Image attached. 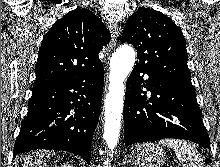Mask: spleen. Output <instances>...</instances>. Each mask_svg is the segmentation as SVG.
<instances>
[{"label":"spleen","mask_w":220,"mask_h":167,"mask_svg":"<svg viewBox=\"0 0 220 167\" xmlns=\"http://www.w3.org/2000/svg\"><path fill=\"white\" fill-rule=\"evenodd\" d=\"M159 144L174 149L178 160L184 162V167H203V158L191 142L168 138L160 140Z\"/></svg>","instance_id":"spleen-1"}]
</instances>
